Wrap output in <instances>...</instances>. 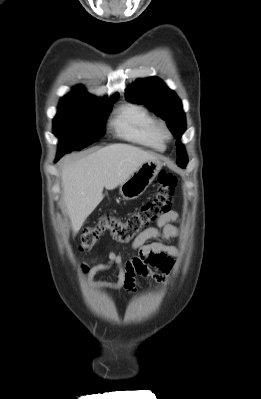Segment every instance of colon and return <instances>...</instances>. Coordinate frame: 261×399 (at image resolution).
<instances>
[{
    "label": "colon",
    "instance_id": "obj_1",
    "mask_svg": "<svg viewBox=\"0 0 261 399\" xmlns=\"http://www.w3.org/2000/svg\"><path fill=\"white\" fill-rule=\"evenodd\" d=\"M175 185L176 178L172 173L160 171L155 194L149 201L132 211L125 219L106 214L94 224L83 228L80 234V248L84 251L92 249L105 233L121 243L134 240L169 212Z\"/></svg>",
    "mask_w": 261,
    "mask_h": 399
}]
</instances>
